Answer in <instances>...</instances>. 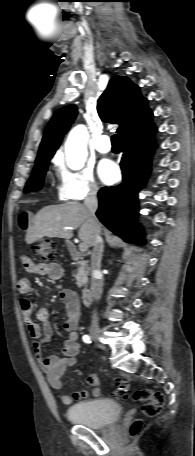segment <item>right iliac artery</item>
Segmentation results:
<instances>
[{
    "label": "right iliac artery",
    "mask_w": 195,
    "mask_h": 456,
    "mask_svg": "<svg viewBox=\"0 0 195 456\" xmlns=\"http://www.w3.org/2000/svg\"><path fill=\"white\" fill-rule=\"evenodd\" d=\"M82 339L85 343H91V338L88 335H84Z\"/></svg>",
    "instance_id": "right-iliac-artery-1"
}]
</instances>
